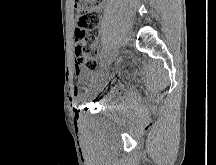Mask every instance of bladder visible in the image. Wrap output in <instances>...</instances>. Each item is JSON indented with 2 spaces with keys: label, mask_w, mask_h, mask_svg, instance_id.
<instances>
[{
  "label": "bladder",
  "mask_w": 216,
  "mask_h": 165,
  "mask_svg": "<svg viewBox=\"0 0 216 165\" xmlns=\"http://www.w3.org/2000/svg\"><path fill=\"white\" fill-rule=\"evenodd\" d=\"M92 82L87 94V98L107 97V94H117V89H103L104 86H110L111 82L106 81L104 75H92Z\"/></svg>",
  "instance_id": "obj_1"
}]
</instances>
